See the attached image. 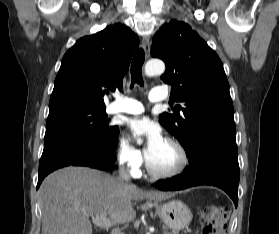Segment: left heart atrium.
<instances>
[{
    "mask_svg": "<svg viewBox=\"0 0 279 234\" xmlns=\"http://www.w3.org/2000/svg\"><path fill=\"white\" fill-rule=\"evenodd\" d=\"M129 129L134 137L145 139L147 155L152 153L164 141L159 125L148 118L131 120L129 122Z\"/></svg>",
    "mask_w": 279,
    "mask_h": 234,
    "instance_id": "left-heart-atrium-1",
    "label": "left heart atrium"
}]
</instances>
